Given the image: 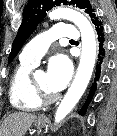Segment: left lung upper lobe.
<instances>
[{"instance_id":"5c2ea615","label":"left lung upper lobe","mask_w":117,"mask_h":136,"mask_svg":"<svg viewBox=\"0 0 117 136\" xmlns=\"http://www.w3.org/2000/svg\"><path fill=\"white\" fill-rule=\"evenodd\" d=\"M60 4L75 5L89 14L93 23L98 20L95 10L88 0H29L23 11L22 24L12 45V50L9 55V63L18 54L22 45L32 34L38 23H40L46 16V11L51 9L53 6H58Z\"/></svg>"}]
</instances>
